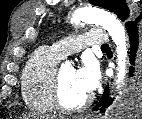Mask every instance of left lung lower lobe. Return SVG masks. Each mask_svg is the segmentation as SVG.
I'll return each instance as SVG.
<instances>
[{"label":"left lung lower lobe","instance_id":"obj_1","mask_svg":"<svg viewBox=\"0 0 142 119\" xmlns=\"http://www.w3.org/2000/svg\"><path fill=\"white\" fill-rule=\"evenodd\" d=\"M142 13L133 20L125 24L129 40H130V76L132 77L131 88L127 97L130 107L139 105L142 101V25L140 23ZM108 86L100 99L99 105L95 110L101 106V112L112 104V99L108 97Z\"/></svg>","mask_w":142,"mask_h":119}]
</instances>
